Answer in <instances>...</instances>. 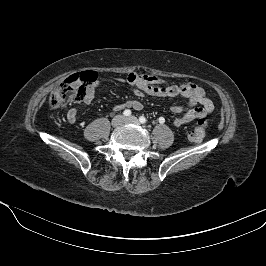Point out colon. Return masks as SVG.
Instances as JSON below:
<instances>
[{"instance_id":"colon-1","label":"colon","mask_w":266,"mask_h":266,"mask_svg":"<svg viewBox=\"0 0 266 266\" xmlns=\"http://www.w3.org/2000/svg\"><path fill=\"white\" fill-rule=\"evenodd\" d=\"M97 80V74L93 71L76 73L66 78L51 94L49 102L52 107H64L85 100L87 89ZM207 123L200 120L189 133V139L193 143L201 142L206 133Z\"/></svg>"}]
</instances>
